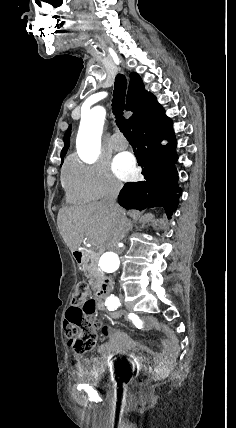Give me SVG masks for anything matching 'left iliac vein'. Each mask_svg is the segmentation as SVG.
<instances>
[{
  "label": "left iliac vein",
  "instance_id": "left-iliac-vein-1",
  "mask_svg": "<svg viewBox=\"0 0 236 428\" xmlns=\"http://www.w3.org/2000/svg\"><path fill=\"white\" fill-rule=\"evenodd\" d=\"M123 295H124V294H123L122 292L119 294V299H120L121 301H122V300H123V298H124V297H123Z\"/></svg>",
  "mask_w": 236,
  "mask_h": 428
}]
</instances>
